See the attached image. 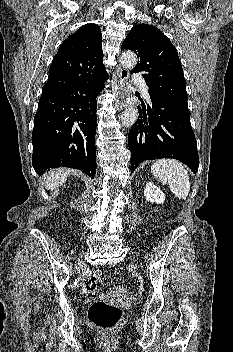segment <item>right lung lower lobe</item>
I'll return each instance as SVG.
<instances>
[{"instance_id": "98d812e1", "label": "right lung lower lobe", "mask_w": 233, "mask_h": 352, "mask_svg": "<svg viewBox=\"0 0 233 352\" xmlns=\"http://www.w3.org/2000/svg\"><path fill=\"white\" fill-rule=\"evenodd\" d=\"M108 79L100 75L53 92H42L32 133L33 167L38 175L50 168L96 173V97Z\"/></svg>"}]
</instances>
